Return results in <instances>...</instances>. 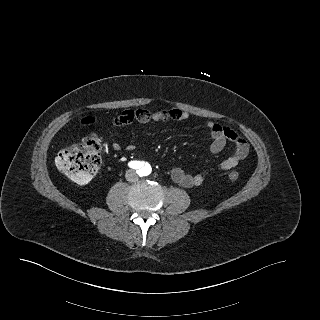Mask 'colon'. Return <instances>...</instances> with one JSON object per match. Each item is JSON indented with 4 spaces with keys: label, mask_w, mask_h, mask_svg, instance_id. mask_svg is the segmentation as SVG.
Here are the masks:
<instances>
[{
    "label": "colon",
    "mask_w": 320,
    "mask_h": 320,
    "mask_svg": "<svg viewBox=\"0 0 320 320\" xmlns=\"http://www.w3.org/2000/svg\"><path fill=\"white\" fill-rule=\"evenodd\" d=\"M92 122L91 118L84 120L85 124ZM102 150L99 137L90 133L80 143L61 150L56 157V165L74 183L84 185L90 182L97 172L101 163ZM228 177L235 181L239 178V174L231 171Z\"/></svg>",
    "instance_id": "obj_1"
}]
</instances>
